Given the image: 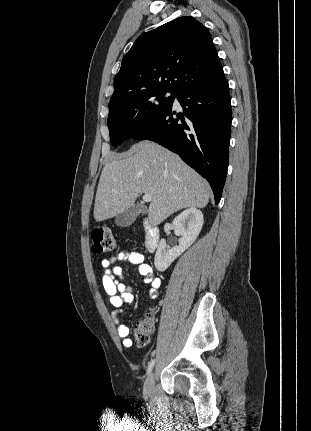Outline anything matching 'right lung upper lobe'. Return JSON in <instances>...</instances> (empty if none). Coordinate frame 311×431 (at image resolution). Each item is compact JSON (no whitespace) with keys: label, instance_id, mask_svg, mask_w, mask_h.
I'll return each mask as SVG.
<instances>
[{"label":"right lung upper lobe","instance_id":"right-lung-upper-lobe-1","mask_svg":"<svg viewBox=\"0 0 311 431\" xmlns=\"http://www.w3.org/2000/svg\"><path fill=\"white\" fill-rule=\"evenodd\" d=\"M221 70L205 26L180 17L137 38L115 76L111 99L151 90L177 93Z\"/></svg>","mask_w":311,"mask_h":431}]
</instances>
